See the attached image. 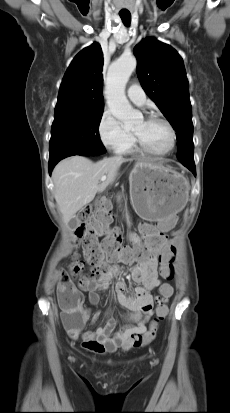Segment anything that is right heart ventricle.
I'll return each instance as SVG.
<instances>
[{
  "mask_svg": "<svg viewBox=\"0 0 230 413\" xmlns=\"http://www.w3.org/2000/svg\"><path fill=\"white\" fill-rule=\"evenodd\" d=\"M124 153H132L134 152V144L133 141L122 151Z\"/></svg>",
  "mask_w": 230,
  "mask_h": 413,
  "instance_id": "e07e8e85",
  "label": "right heart ventricle"
}]
</instances>
